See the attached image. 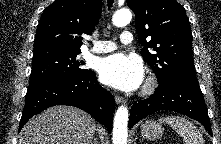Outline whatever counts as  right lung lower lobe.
I'll return each instance as SVG.
<instances>
[{"label": "right lung lower lobe", "instance_id": "1", "mask_svg": "<svg viewBox=\"0 0 221 144\" xmlns=\"http://www.w3.org/2000/svg\"><path fill=\"white\" fill-rule=\"evenodd\" d=\"M55 105L78 107L103 124L108 133L112 130L114 97L98 84L91 70L81 76L53 78L28 89L19 131L32 116Z\"/></svg>", "mask_w": 221, "mask_h": 144}]
</instances>
